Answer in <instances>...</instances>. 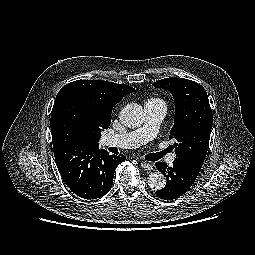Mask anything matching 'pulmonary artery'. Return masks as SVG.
Masks as SVG:
<instances>
[{"instance_id": "1", "label": "pulmonary artery", "mask_w": 255, "mask_h": 255, "mask_svg": "<svg viewBox=\"0 0 255 255\" xmlns=\"http://www.w3.org/2000/svg\"><path fill=\"white\" fill-rule=\"evenodd\" d=\"M144 110L145 118L140 127L125 133L110 134L105 137V143L125 148H135L152 140L158 132L167 109L163 103L147 102ZM175 159L176 155L174 153L169 154L166 158L169 164H172Z\"/></svg>"}]
</instances>
